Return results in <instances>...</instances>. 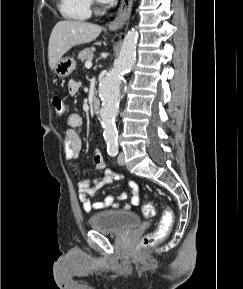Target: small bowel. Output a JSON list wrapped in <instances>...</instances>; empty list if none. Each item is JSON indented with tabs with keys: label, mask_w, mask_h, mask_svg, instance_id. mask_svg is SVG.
<instances>
[{
	"label": "small bowel",
	"mask_w": 243,
	"mask_h": 289,
	"mask_svg": "<svg viewBox=\"0 0 243 289\" xmlns=\"http://www.w3.org/2000/svg\"><path fill=\"white\" fill-rule=\"evenodd\" d=\"M80 89V81L72 79L68 83V91L71 95H75ZM68 128L63 135V151L65 158L69 161L78 159L82 149V139L79 134V128L83 124V118L78 113H71L67 118ZM93 164L97 170L103 172V176L94 180L89 177H83L78 180L79 200L85 212L92 210H101L107 207L119 208L121 202L127 199L128 189H125L119 196L109 194L104 201L91 202L90 197L94 196L101 188L112 181H119L123 176L113 169L106 168V164L102 153L95 150L93 154ZM128 188L132 192L131 201L124 203V208L130 210L137 206L140 201V190L138 184L130 180Z\"/></svg>",
	"instance_id": "obj_1"
}]
</instances>
